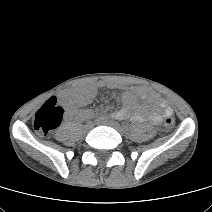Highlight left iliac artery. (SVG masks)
<instances>
[{
    "label": "left iliac artery",
    "mask_w": 212,
    "mask_h": 212,
    "mask_svg": "<svg viewBox=\"0 0 212 212\" xmlns=\"http://www.w3.org/2000/svg\"><path fill=\"white\" fill-rule=\"evenodd\" d=\"M122 128H123L124 130H128V126H127V125H122Z\"/></svg>",
    "instance_id": "obj_1"
}]
</instances>
